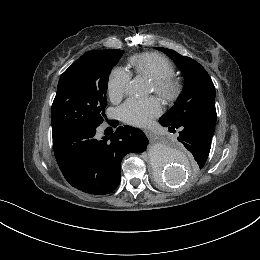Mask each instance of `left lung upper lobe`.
Listing matches in <instances>:
<instances>
[{"instance_id": "left-lung-upper-lobe-1", "label": "left lung upper lobe", "mask_w": 260, "mask_h": 260, "mask_svg": "<svg viewBox=\"0 0 260 260\" xmlns=\"http://www.w3.org/2000/svg\"><path fill=\"white\" fill-rule=\"evenodd\" d=\"M160 49L176 60L185 76L181 95L175 105L163 116L173 124L193 120L215 129L217 117L215 87L206 70L195 60L182 56L174 50Z\"/></svg>"}]
</instances>
